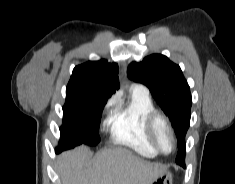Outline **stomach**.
Returning a JSON list of instances; mask_svg holds the SVG:
<instances>
[{"mask_svg": "<svg viewBox=\"0 0 235 184\" xmlns=\"http://www.w3.org/2000/svg\"><path fill=\"white\" fill-rule=\"evenodd\" d=\"M152 184H173V176L171 172H167V170H165V172H162L158 178L153 180Z\"/></svg>", "mask_w": 235, "mask_h": 184, "instance_id": "0dacf381", "label": "stomach"}]
</instances>
